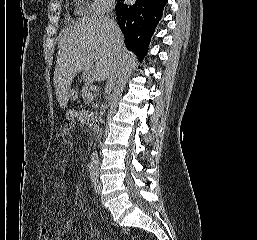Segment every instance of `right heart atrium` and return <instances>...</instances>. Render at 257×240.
<instances>
[{
	"instance_id": "obj_1",
	"label": "right heart atrium",
	"mask_w": 257,
	"mask_h": 240,
	"mask_svg": "<svg viewBox=\"0 0 257 240\" xmlns=\"http://www.w3.org/2000/svg\"><path fill=\"white\" fill-rule=\"evenodd\" d=\"M114 0H92L90 12L93 14H103L108 12Z\"/></svg>"
}]
</instances>
